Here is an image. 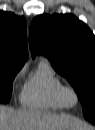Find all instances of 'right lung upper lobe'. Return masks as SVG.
I'll use <instances>...</instances> for the list:
<instances>
[{
    "label": "right lung upper lobe",
    "instance_id": "right-lung-upper-lobe-1",
    "mask_svg": "<svg viewBox=\"0 0 95 130\" xmlns=\"http://www.w3.org/2000/svg\"><path fill=\"white\" fill-rule=\"evenodd\" d=\"M26 20L0 12V67H22L28 58Z\"/></svg>",
    "mask_w": 95,
    "mask_h": 130
}]
</instances>
